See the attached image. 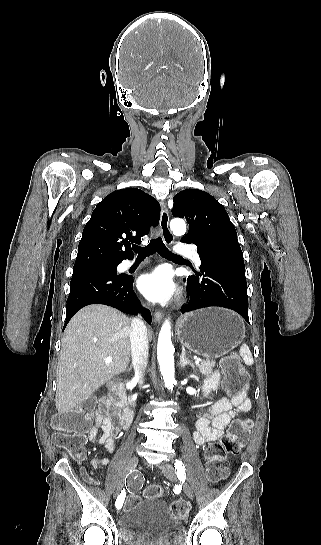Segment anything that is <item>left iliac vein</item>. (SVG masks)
<instances>
[{"label":"left iliac vein","instance_id":"1","mask_svg":"<svg viewBox=\"0 0 321 545\" xmlns=\"http://www.w3.org/2000/svg\"><path fill=\"white\" fill-rule=\"evenodd\" d=\"M160 469H162V471L164 472V475L166 476V478H168L169 480L171 481H176L177 480V477H176V470L174 469V467L170 464H161L160 465ZM182 488H183V491L185 492V494L190 498V499H193L194 497V494H193V490L192 488L188 485V483L186 482H182Z\"/></svg>","mask_w":321,"mask_h":545}]
</instances>
